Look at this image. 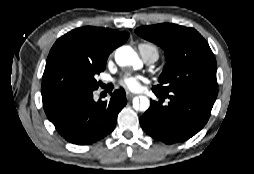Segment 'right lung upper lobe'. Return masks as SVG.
I'll use <instances>...</instances> for the list:
<instances>
[{
    "mask_svg": "<svg viewBox=\"0 0 254 174\" xmlns=\"http://www.w3.org/2000/svg\"><path fill=\"white\" fill-rule=\"evenodd\" d=\"M129 37L128 32H118L100 27H81L60 37L49 56L60 50H70L90 61L106 62L109 54Z\"/></svg>",
    "mask_w": 254,
    "mask_h": 174,
    "instance_id": "obj_1",
    "label": "right lung upper lobe"
}]
</instances>
